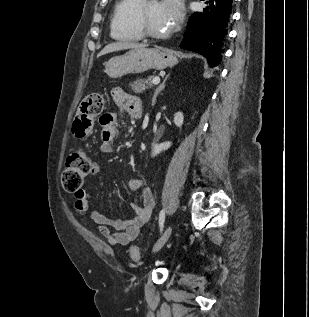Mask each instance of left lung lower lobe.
Listing matches in <instances>:
<instances>
[{
    "mask_svg": "<svg viewBox=\"0 0 309 317\" xmlns=\"http://www.w3.org/2000/svg\"><path fill=\"white\" fill-rule=\"evenodd\" d=\"M195 12L187 25L180 47L203 55L210 67L220 64L231 21L234 0H209Z\"/></svg>",
    "mask_w": 309,
    "mask_h": 317,
    "instance_id": "left-lung-lower-lobe-1",
    "label": "left lung lower lobe"
}]
</instances>
